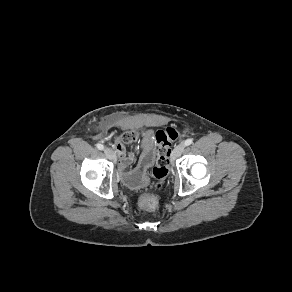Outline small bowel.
Returning <instances> with one entry per match:
<instances>
[{
    "instance_id": "obj_1",
    "label": "small bowel",
    "mask_w": 292,
    "mask_h": 292,
    "mask_svg": "<svg viewBox=\"0 0 292 292\" xmlns=\"http://www.w3.org/2000/svg\"><path fill=\"white\" fill-rule=\"evenodd\" d=\"M158 143L156 141L155 133L151 130L145 132L136 148V154L126 147V144L118 141L116 155L119 159L122 169H128L136 161V155L138 156V162L135 167V172H146L155 162L156 151Z\"/></svg>"
}]
</instances>
